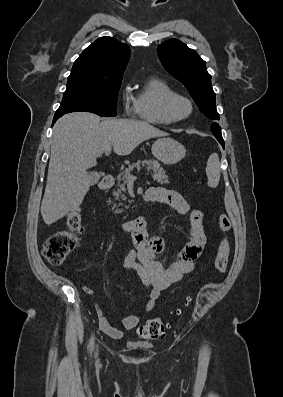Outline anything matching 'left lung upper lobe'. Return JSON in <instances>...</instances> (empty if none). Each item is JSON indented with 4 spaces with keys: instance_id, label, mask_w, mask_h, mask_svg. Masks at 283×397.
Here are the masks:
<instances>
[{
    "instance_id": "obj_1",
    "label": "left lung upper lobe",
    "mask_w": 283,
    "mask_h": 397,
    "mask_svg": "<svg viewBox=\"0 0 283 397\" xmlns=\"http://www.w3.org/2000/svg\"><path fill=\"white\" fill-rule=\"evenodd\" d=\"M157 53L164 68L187 88L199 110L210 119L219 120L211 75L197 52L177 39H170L157 47ZM210 129L214 135H221L216 122Z\"/></svg>"
}]
</instances>
